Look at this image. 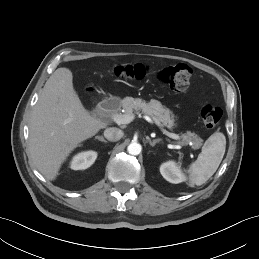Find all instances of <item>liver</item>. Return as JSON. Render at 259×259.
<instances>
[{
  "label": "liver",
  "mask_w": 259,
  "mask_h": 259,
  "mask_svg": "<svg viewBox=\"0 0 259 259\" xmlns=\"http://www.w3.org/2000/svg\"><path fill=\"white\" fill-rule=\"evenodd\" d=\"M107 125L82 105L72 72L58 68L46 81L30 119L29 153L35 167L55 180L69 154Z\"/></svg>",
  "instance_id": "1"
}]
</instances>
